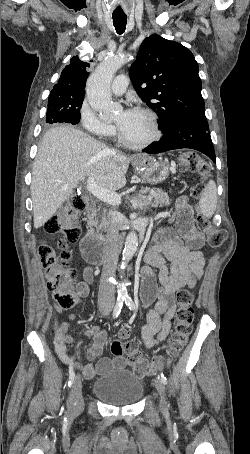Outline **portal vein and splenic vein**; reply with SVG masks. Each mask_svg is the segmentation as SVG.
I'll list each match as a JSON object with an SVG mask.
<instances>
[{
  "label": "portal vein and splenic vein",
  "instance_id": "obj_1",
  "mask_svg": "<svg viewBox=\"0 0 250 454\" xmlns=\"http://www.w3.org/2000/svg\"><path fill=\"white\" fill-rule=\"evenodd\" d=\"M86 189L91 195L107 204L113 206H118L121 204V196L119 194L115 193L114 191H109L99 187L96 184L94 178L87 179Z\"/></svg>",
  "mask_w": 250,
  "mask_h": 454
}]
</instances>
